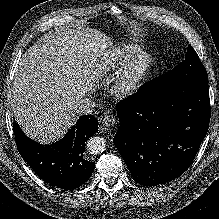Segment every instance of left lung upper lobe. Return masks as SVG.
<instances>
[{"instance_id": "left-lung-upper-lobe-1", "label": "left lung upper lobe", "mask_w": 219, "mask_h": 219, "mask_svg": "<svg viewBox=\"0 0 219 219\" xmlns=\"http://www.w3.org/2000/svg\"><path fill=\"white\" fill-rule=\"evenodd\" d=\"M188 82H208L206 69L191 45L188 46L184 61L171 71L145 83L144 89L147 93H159Z\"/></svg>"}]
</instances>
